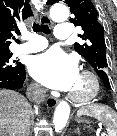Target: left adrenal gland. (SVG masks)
Wrapping results in <instances>:
<instances>
[{"instance_id":"1","label":"left adrenal gland","mask_w":117,"mask_h":136,"mask_svg":"<svg viewBox=\"0 0 117 136\" xmlns=\"http://www.w3.org/2000/svg\"><path fill=\"white\" fill-rule=\"evenodd\" d=\"M75 133H77V134L80 136V129L77 128V129L75 130Z\"/></svg>"}]
</instances>
